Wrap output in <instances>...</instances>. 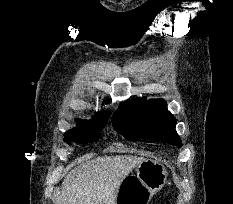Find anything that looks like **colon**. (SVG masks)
<instances>
[{
    "mask_svg": "<svg viewBox=\"0 0 233 204\" xmlns=\"http://www.w3.org/2000/svg\"><path fill=\"white\" fill-rule=\"evenodd\" d=\"M162 204H170V202L168 200H164Z\"/></svg>",
    "mask_w": 233,
    "mask_h": 204,
    "instance_id": "1",
    "label": "colon"
}]
</instances>
